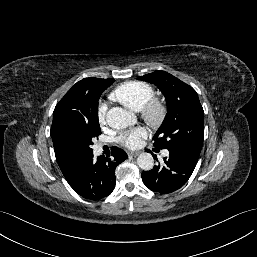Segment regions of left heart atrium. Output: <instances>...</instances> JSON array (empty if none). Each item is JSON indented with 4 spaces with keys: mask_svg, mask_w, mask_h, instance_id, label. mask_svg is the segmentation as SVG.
I'll list each match as a JSON object with an SVG mask.
<instances>
[{
    "mask_svg": "<svg viewBox=\"0 0 257 257\" xmlns=\"http://www.w3.org/2000/svg\"><path fill=\"white\" fill-rule=\"evenodd\" d=\"M147 136V131L144 127H136L134 129L123 132L118 141L121 145L128 148H136L141 144L142 139Z\"/></svg>",
    "mask_w": 257,
    "mask_h": 257,
    "instance_id": "left-heart-atrium-1",
    "label": "left heart atrium"
}]
</instances>
